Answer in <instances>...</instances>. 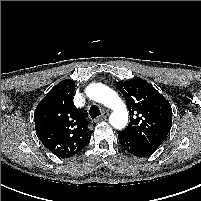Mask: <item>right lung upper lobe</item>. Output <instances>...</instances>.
I'll return each mask as SVG.
<instances>
[{
  "mask_svg": "<svg viewBox=\"0 0 201 201\" xmlns=\"http://www.w3.org/2000/svg\"><path fill=\"white\" fill-rule=\"evenodd\" d=\"M73 80L55 85L37 105L35 129L43 145L54 155L67 158L81 151L93 131L81 109L75 107Z\"/></svg>",
  "mask_w": 201,
  "mask_h": 201,
  "instance_id": "obj_1",
  "label": "right lung upper lobe"
}]
</instances>
